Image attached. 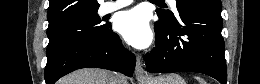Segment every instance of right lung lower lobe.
<instances>
[{"mask_svg":"<svg viewBox=\"0 0 260 84\" xmlns=\"http://www.w3.org/2000/svg\"><path fill=\"white\" fill-rule=\"evenodd\" d=\"M135 63V56L122 46L110 25L103 39L73 43L47 63L45 81L46 84H54L62 76L86 67L109 69L132 77Z\"/></svg>","mask_w":260,"mask_h":84,"instance_id":"obj_1","label":"right lung lower lobe"}]
</instances>
